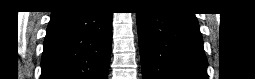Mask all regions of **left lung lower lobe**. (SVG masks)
I'll list each match as a JSON object with an SVG mask.
<instances>
[{"mask_svg":"<svg viewBox=\"0 0 255 79\" xmlns=\"http://www.w3.org/2000/svg\"><path fill=\"white\" fill-rule=\"evenodd\" d=\"M143 79H207V60L194 14L170 6L136 13Z\"/></svg>","mask_w":255,"mask_h":79,"instance_id":"1","label":"left lung lower lobe"}]
</instances>
